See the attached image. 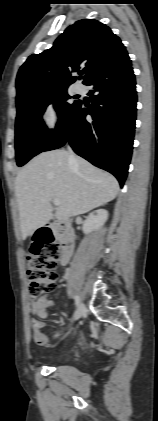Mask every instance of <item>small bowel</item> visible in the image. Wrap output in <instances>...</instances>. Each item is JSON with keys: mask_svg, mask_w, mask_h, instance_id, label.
I'll return each mask as SVG.
<instances>
[{"mask_svg": "<svg viewBox=\"0 0 158 421\" xmlns=\"http://www.w3.org/2000/svg\"><path fill=\"white\" fill-rule=\"evenodd\" d=\"M49 305L50 302L46 300L33 302L31 304V313L33 315L38 316L39 318L44 319L48 316L47 308ZM31 326L35 342L41 346L47 345L48 336L43 330L45 327V323L39 319H33L31 322Z\"/></svg>", "mask_w": 158, "mask_h": 421, "instance_id": "1", "label": "small bowel"}]
</instances>
